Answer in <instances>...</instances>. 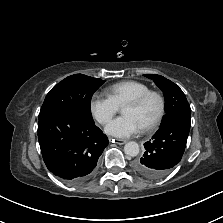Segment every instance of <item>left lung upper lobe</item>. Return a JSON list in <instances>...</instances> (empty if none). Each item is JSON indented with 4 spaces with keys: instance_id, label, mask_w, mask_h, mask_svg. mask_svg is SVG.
<instances>
[{
    "instance_id": "1",
    "label": "left lung upper lobe",
    "mask_w": 223,
    "mask_h": 223,
    "mask_svg": "<svg viewBox=\"0 0 223 223\" xmlns=\"http://www.w3.org/2000/svg\"><path fill=\"white\" fill-rule=\"evenodd\" d=\"M154 80L155 84L161 89L165 98V115L161 126L169 121L183 120L190 123L191 109L185 94L178 85L156 74L144 75Z\"/></svg>"
}]
</instances>
